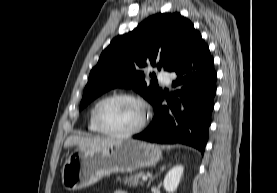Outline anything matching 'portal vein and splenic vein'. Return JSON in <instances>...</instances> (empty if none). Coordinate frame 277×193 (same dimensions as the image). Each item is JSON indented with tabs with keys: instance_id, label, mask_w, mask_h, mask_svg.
Here are the masks:
<instances>
[{
	"instance_id": "18ae733b",
	"label": "portal vein and splenic vein",
	"mask_w": 277,
	"mask_h": 193,
	"mask_svg": "<svg viewBox=\"0 0 277 193\" xmlns=\"http://www.w3.org/2000/svg\"><path fill=\"white\" fill-rule=\"evenodd\" d=\"M148 179V177L146 176V175H144L143 177H142V180L143 181H146Z\"/></svg>"
}]
</instances>
